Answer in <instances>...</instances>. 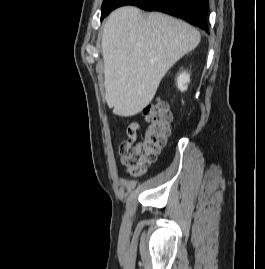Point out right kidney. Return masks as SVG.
Masks as SVG:
<instances>
[{"label":"right kidney","instance_id":"right-kidney-1","mask_svg":"<svg viewBox=\"0 0 265 269\" xmlns=\"http://www.w3.org/2000/svg\"><path fill=\"white\" fill-rule=\"evenodd\" d=\"M190 82V74L187 72H182L177 77V87L181 91L187 90L188 83Z\"/></svg>","mask_w":265,"mask_h":269}]
</instances>
